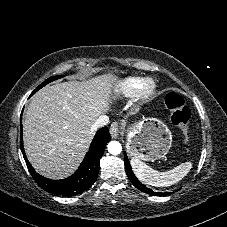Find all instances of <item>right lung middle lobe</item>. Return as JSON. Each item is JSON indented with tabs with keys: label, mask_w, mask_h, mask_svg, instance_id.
<instances>
[{
	"label": "right lung middle lobe",
	"mask_w": 227,
	"mask_h": 227,
	"mask_svg": "<svg viewBox=\"0 0 227 227\" xmlns=\"http://www.w3.org/2000/svg\"><path fill=\"white\" fill-rule=\"evenodd\" d=\"M62 77H64V76H53V77L48 78V79L45 80L42 84H40V85L34 90V92H33L32 94H34L37 90L41 89L43 86L47 85L48 83H50V82H52V81H54V80H57V79H59V78H62Z\"/></svg>",
	"instance_id": "obj_1"
}]
</instances>
